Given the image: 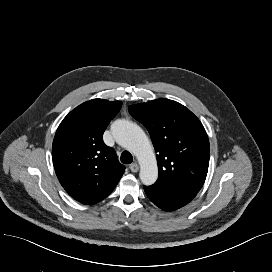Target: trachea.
Returning a JSON list of instances; mask_svg holds the SVG:
<instances>
[{
    "mask_svg": "<svg viewBox=\"0 0 272 272\" xmlns=\"http://www.w3.org/2000/svg\"><path fill=\"white\" fill-rule=\"evenodd\" d=\"M120 159H121V162L124 163V164H130L133 161V157L128 151H124L121 154Z\"/></svg>",
    "mask_w": 272,
    "mask_h": 272,
    "instance_id": "trachea-1",
    "label": "trachea"
}]
</instances>
